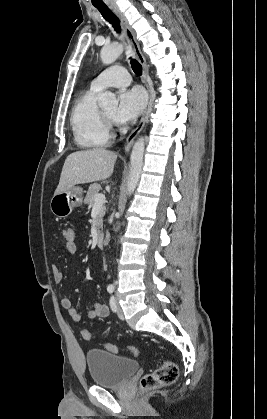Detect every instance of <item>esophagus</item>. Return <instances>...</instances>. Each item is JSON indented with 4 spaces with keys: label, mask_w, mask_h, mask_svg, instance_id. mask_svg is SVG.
<instances>
[{
    "label": "esophagus",
    "mask_w": 267,
    "mask_h": 419,
    "mask_svg": "<svg viewBox=\"0 0 267 419\" xmlns=\"http://www.w3.org/2000/svg\"><path fill=\"white\" fill-rule=\"evenodd\" d=\"M113 10L116 13V15L118 16V18L120 19V22H121L123 30H124V34L126 36V39L129 43V45L132 48L133 54L136 56V58L138 59L139 63L142 66L144 83H145V85L148 89V92H149V103H148L147 109L144 112V114H143L139 124L137 125V127L126 138L125 145H124V152H125V154H127L130 151V148H131L135 138L137 137V135L143 129V127L145 125V122H146V118H147L149 108L151 106V89H150V83H149V68H148V65L146 63L145 57H144V55H143V53L140 49V45H139L138 41L136 40L134 30L132 29V27L128 23L127 19L123 15V13H121L120 10L117 7H113Z\"/></svg>",
    "instance_id": "obj_1"
}]
</instances>
